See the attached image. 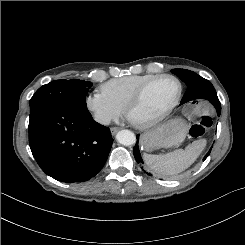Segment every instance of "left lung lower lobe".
<instances>
[{"label":"left lung lower lobe","mask_w":245,"mask_h":245,"mask_svg":"<svg viewBox=\"0 0 245 245\" xmlns=\"http://www.w3.org/2000/svg\"><path fill=\"white\" fill-rule=\"evenodd\" d=\"M208 100L215 106V108L217 110V114H218V116H220L221 106H220V101H219L218 97H212L211 99H208ZM138 139H139V135H137V140ZM210 152H211V150L205 155L204 160L208 157ZM133 153H134V157H135L137 163H143V160L141 158L140 151H139L138 142L134 146Z\"/></svg>","instance_id":"1"}]
</instances>
